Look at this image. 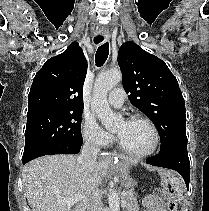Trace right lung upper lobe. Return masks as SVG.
<instances>
[{
  "label": "right lung upper lobe",
  "mask_w": 209,
  "mask_h": 211,
  "mask_svg": "<svg viewBox=\"0 0 209 211\" xmlns=\"http://www.w3.org/2000/svg\"><path fill=\"white\" fill-rule=\"evenodd\" d=\"M87 62L77 42L50 58L36 73L28 96V113L83 110Z\"/></svg>",
  "instance_id": "1"
}]
</instances>
